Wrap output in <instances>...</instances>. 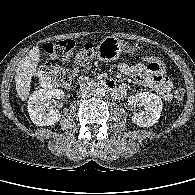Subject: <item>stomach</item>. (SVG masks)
Masks as SVG:
<instances>
[{"label": "stomach", "instance_id": "stomach-1", "mask_svg": "<svg viewBox=\"0 0 195 195\" xmlns=\"http://www.w3.org/2000/svg\"><path fill=\"white\" fill-rule=\"evenodd\" d=\"M122 52L133 53L134 49L115 36L104 38L96 48L98 59L106 62L117 60Z\"/></svg>", "mask_w": 195, "mask_h": 195}]
</instances>
